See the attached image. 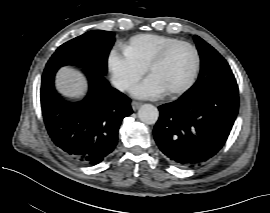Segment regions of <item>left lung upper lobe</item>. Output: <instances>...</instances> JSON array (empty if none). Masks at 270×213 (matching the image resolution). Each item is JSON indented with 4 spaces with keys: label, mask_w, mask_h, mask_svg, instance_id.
Segmentation results:
<instances>
[{
    "label": "left lung upper lobe",
    "mask_w": 270,
    "mask_h": 213,
    "mask_svg": "<svg viewBox=\"0 0 270 213\" xmlns=\"http://www.w3.org/2000/svg\"><path fill=\"white\" fill-rule=\"evenodd\" d=\"M194 41L201 59V70L198 80L185 97L198 95L212 86L235 79L227 61L212 46L198 36H194Z\"/></svg>",
    "instance_id": "1"
}]
</instances>
